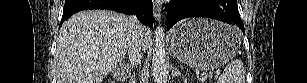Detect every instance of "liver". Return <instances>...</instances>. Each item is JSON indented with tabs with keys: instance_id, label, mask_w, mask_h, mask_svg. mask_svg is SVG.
<instances>
[{
	"instance_id": "6515ba94",
	"label": "liver",
	"mask_w": 307,
	"mask_h": 83,
	"mask_svg": "<svg viewBox=\"0 0 307 83\" xmlns=\"http://www.w3.org/2000/svg\"><path fill=\"white\" fill-rule=\"evenodd\" d=\"M141 47L151 44V32L138 29ZM132 30L130 18L106 10L81 11L60 29L54 62L57 83H101L123 61Z\"/></svg>"
}]
</instances>
